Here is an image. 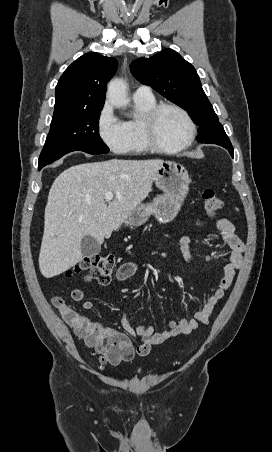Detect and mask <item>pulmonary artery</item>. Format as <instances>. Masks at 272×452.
I'll return each mask as SVG.
<instances>
[{
  "label": "pulmonary artery",
  "instance_id": "1",
  "mask_svg": "<svg viewBox=\"0 0 272 452\" xmlns=\"http://www.w3.org/2000/svg\"><path fill=\"white\" fill-rule=\"evenodd\" d=\"M134 97H153L152 90L149 86L141 85L139 86L135 92Z\"/></svg>",
  "mask_w": 272,
  "mask_h": 452
}]
</instances>
